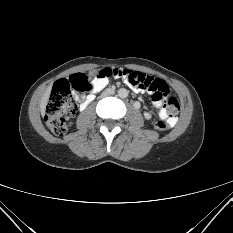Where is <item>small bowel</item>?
<instances>
[{"mask_svg":"<svg viewBox=\"0 0 233 233\" xmlns=\"http://www.w3.org/2000/svg\"><path fill=\"white\" fill-rule=\"evenodd\" d=\"M108 81H109V78H107V77H101V76L95 77L93 82H92L91 94L88 95V96L79 97V99L81 101L80 108L81 109L86 108L87 105L90 103L93 94L100 91L101 89H103L108 84ZM144 115H145L146 119L151 118L150 113H145ZM159 118L161 120L167 121V123L170 124L171 126H173L176 123V119L175 118H170L168 116L165 108H160L159 109Z\"/></svg>","mask_w":233,"mask_h":233,"instance_id":"1","label":"small bowel"}]
</instances>
